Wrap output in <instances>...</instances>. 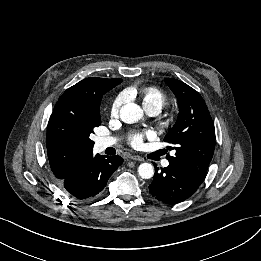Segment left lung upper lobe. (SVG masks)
I'll list each match as a JSON object with an SVG mask.
<instances>
[{"mask_svg":"<svg viewBox=\"0 0 261 261\" xmlns=\"http://www.w3.org/2000/svg\"><path fill=\"white\" fill-rule=\"evenodd\" d=\"M177 97L179 115L164 138L172 143L175 156L167 155L169 164L181 169L194 182L201 184L215 149V129L202 96L182 81L165 78Z\"/></svg>","mask_w":261,"mask_h":261,"instance_id":"left-lung-upper-lobe-1","label":"left lung upper lobe"}]
</instances>
